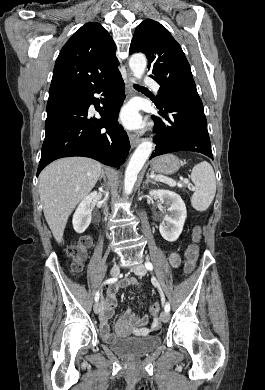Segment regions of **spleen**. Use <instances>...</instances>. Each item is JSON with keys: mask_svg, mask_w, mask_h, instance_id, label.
Segmentation results:
<instances>
[{"mask_svg": "<svg viewBox=\"0 0 265 390\" xmlns=\"http://www.w3.org/2000/svg\"><path fill=\"white\" fill-rule=\"evenodd\" d=\"M190 177L195 185L191 205L197 211H205L212 203L216 193L214 170L208 162L204 161L193 168Z\"/></svg>", "mask_w": 265, "mask_h": 390, "instance_id": "3e777b00", "label": "spleen"}]
</instances>
